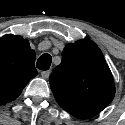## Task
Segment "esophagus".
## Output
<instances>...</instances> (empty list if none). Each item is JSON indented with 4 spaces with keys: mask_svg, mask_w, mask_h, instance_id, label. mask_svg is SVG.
<instances>
[{
    "mask_svg": "<svg viewBox=\"0 0 125 125\" xmlns=\"http://www.w3.org/2000/svg\"><path fill=\"white\" fill-rule=\"evenodd\" d=\"M50 75V71H42L41 72V77L44 78V79H47Z\"/></svg>",
    "mask_w": 125,
    "mask_h": 125,
    "instance_id": "obj_1",
    "label": "esophagus"
}]
</instances>
